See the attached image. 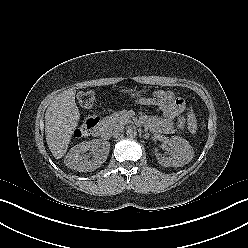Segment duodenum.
I'll return each instance as SVG.
<instances>
[{
	"label": "duodenum",
	"instance_id": "1",
	"mask_svg": "<svg viewBox=\"0 0 248 248\" xmlns=\"http://www.w3.org/2000/svg\"><path fill=\"white\" fill-rule=\"evenodd\" d=\"M106 134V124L103 121H98L94 127L93 135L98 138H103Z\"/></svg>",
	"mask_w": 248,
	"mask_h": 248
}]
</instances>
